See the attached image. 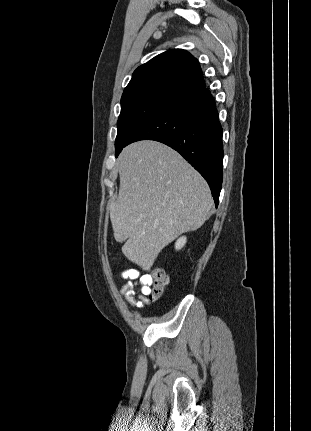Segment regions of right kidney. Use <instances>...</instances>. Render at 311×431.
I'll return each mask as SVG.
<instances>
[{"label": "right kidney", "instance_id": "obj_1", "mask_svg": "<svg viewBox=\"0 0 311 431\" xmlns=\"http://www.w3.org/2000/svg\"><path fill=\"white\" fill-rule=\"evenodd\" d=\"M186 243V237L185 235H182V237H179L177 241H175V249H181V247H184Z\"/></svg>", "mask_w": 311, "mask_h": 431}]
</instances>
